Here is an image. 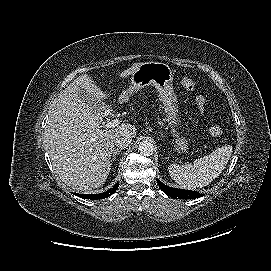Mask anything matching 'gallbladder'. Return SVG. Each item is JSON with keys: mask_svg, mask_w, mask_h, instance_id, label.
I'll return each instance as SVG.
<instances>
[{"mask_svg": "<svg viewBox=\"0 0 271 271\" xmlns=\"http://www.w3.org/2000/svg\"><path fill=\"white\" fill-rule=\"evenodd\" d=\"M79 98L82 102L94 109L100 114H109L112 112L111 106L106 104L104 101H96L93 97L87 94L84 90L80 89L78 93Z\"/></svg>", "mask_w": 271, "mask_h": 271, "instance_id": "bac80fb5", "label": "gallbladder"}]
</instances>
